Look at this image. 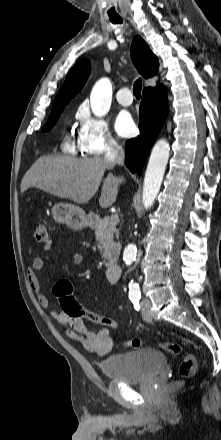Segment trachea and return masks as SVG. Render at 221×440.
Here are the masks:
<instances>
[{
    "instance_id": "trachea-1",
    "label": "trachea",
    "mask_w": 221,
    "mask_h": 440,
    "mask_svg": "<svg viewBox=\"0 0 221 440\" xmlns=\"http://www.w3.org/2000/svg\"><path fill=\"white\" fill-rule=\"evenodd\" d=\"M110 21L114 24H122L123 22L122 18H117V17H110ZM141 89H142V79L139 78L134 82V86H133V93L136 98H140Z\"/></svg>"
}]
</instances>
